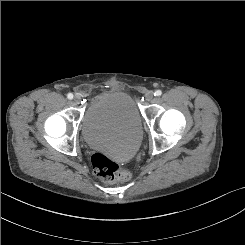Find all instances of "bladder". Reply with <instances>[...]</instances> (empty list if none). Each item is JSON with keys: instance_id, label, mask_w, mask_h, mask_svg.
I'll list each match as a JSON object with an SVG mask.
<instances>
[{"instance_id": "bladder-1", "label": "bladder", "mask_w": 245, "mask_h": 245, "mask_svg": "<svg viewBox=\"0 0 245 245\" xmlns=\"http://www.w3.org/2000/svg\"><path fill=\"white\" fill-rule=\"evenodd\" d=\"M81 133L87 145L118 157L133 154L142 139V123L132 97L123 91L99 94L86 109Z\"/></svg>"}]
</instances>
